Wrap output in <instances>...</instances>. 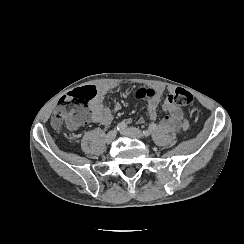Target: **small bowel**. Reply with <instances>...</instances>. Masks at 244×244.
<instances>
[{
  "instance_id": "1",
  "label": "small bowel",
  "mask_w": 244,
  "mask_h": 244,
  "mask_svg": "<svg viewBox=\"0 0 244 244\" xmlns=\"http://www.w3.org/2000/svg\"><path fill=\"white\" fill-rule=\"evenodd\" d=\"M115 87L112 82H104L94 87L96 96L91 100L88 107L91 110L90 123L109 125L113 120V114L108 110L103 102L107 94ZM165 89L163 87L143 88L137 92V97L143 99L147 104V115L150 120H156L158 116V108L162 107L166 115L161 121L164 130L170 132H186L189 129V122L184 111L172 102L173 90H169V95L162 100ZM119 106H115L118 110ZM142 122V120H139Z\"/></svg>"
}]
</instances>
